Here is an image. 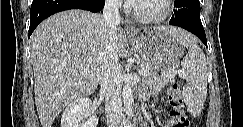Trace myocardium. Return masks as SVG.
I'll list each match as a JSON object with an SVG mask.
<instances>
[{"label": "myocardium", "instance_id": "1", "mask_svg": "<svg viewBox=\"0 0 243 127\" xmlns=\"http://www.w3.org/2000/svg\"><path fill=\"white\" fill-rule=\"evenodd\" d=\"M164 4V9L161 13L156 15H143L138 11L137 3L130 5V11L132 16L143 23H157L166 19L172 13V0H162Z\"/></svg>", "mask_w": 243, "mask_h": 127}]
</instances>
